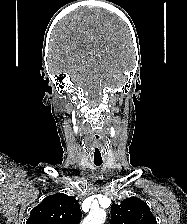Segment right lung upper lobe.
I'll use <instances>...</instances> for the list:
<instances>
[{"mask_svg":"<svg viewBox=\"0 0 187 224\" xmlns=\"http://www.w3.org/2000/svg\"><path fill=\"white\" fill-rule=\"evenodd\" d=\"M82 213L73 196L57 193L33 208L26 224H79Z\"/></svg>","mask_w":187,"mask_h":224,"instance_id":"obj_1","label":"right lung upper lobe"}]
</instances>
